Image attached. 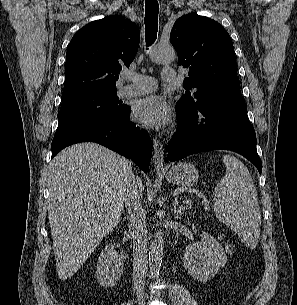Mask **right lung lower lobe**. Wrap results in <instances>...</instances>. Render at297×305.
<instances>
[{
  "mask_svg": "<svg viewBox=\"0 0 297 305\" xmlns=\"http://www.w3.org/2000/svg\"><path fill=\"white\" fill-rule=\"evenodd\" d=\"M131 108L121 117L93 119L54 136L53 158L63 148L79 142L99 143L134 161L144 172L149 169L153 143L146 131L130 121Z\"/></svg>",
  "mask_w": 297,
  "mask_h": 305,
  "instance_id": "obj_1",
  "label": "right lung lower lobe"
}]
</instances>
